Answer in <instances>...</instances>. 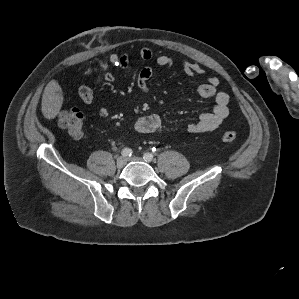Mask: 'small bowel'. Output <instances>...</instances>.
<instances>
[{"label": "small bowel", "instance_id": "c3829d8e", "mask_svg": "<svg viewBox=\"0 0 299 299\" xmlns=\"http://www.w3.org/2000/svg\"><path fill=\"white\" fill-rule=\"evenodd\" d=\"M138 56L144 61H153L155 64L162 67H169L174 64V59L167 55L154 56L149 48H141L137 52ZM109 63L118 68H127L130 63L128 54H112L109 58ZM107 66L103 63L99 66L92 67L89 73L95 74ZM183 72L189 76H200L205 73V70L196 63L184 61L181 64ZM153 74L152 66L144 67L137 79L138 88L143 93L149 92L148 80ZM104 78L108 82H114L116 75L111 71L104 73ZM196 92L204 98H214L215 106L212 111L203 113L199 116L196 122L190 123L186 130L189 133H203L215 130L229 115V96L227 93L219 90V79L212 76L208 82L197 87ZM80 99L85 104H91L94 100L93 90L88 85H81L78 90ZM135 129L143 134L159 133L163 131L164 126L161 118L158 115L152 114L140 117L135 123Z\"/></svg>", "mask_w": 299, "mask_h": 299}]
</instances>
